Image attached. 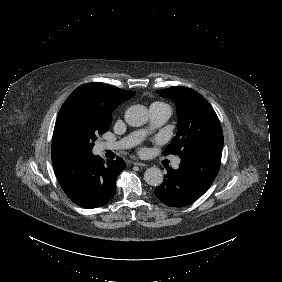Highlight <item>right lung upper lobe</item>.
<instances>
[{
    "instance_id": "cb5924a9",
    "label": "right lung upper lobe",
    "mask_w": 282,
    "mask_h": 282,
    "mask_svg": "<svg viewBox=\"0 0 282 282\" xmlns=\"http://www.w3.org/2000/svg\"><path fill=\"white\" fill-rule=\"evenodd\" d=\"M134 94L135 92L133 91L119 89L105 83L92 82L78 87L66 101L82 98H112L114 100L125 101L130 99ZM52 159L53 162L58 161L53 156Z\"/></svg>"
}]
</instances>
